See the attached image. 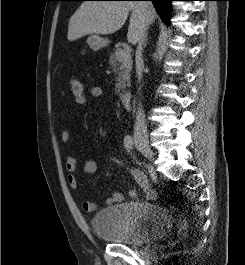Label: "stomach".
<instances>
[{"label": "stomach", "instance_id": "stomach-1", "mask_svg": "<svg viewBox=\"0 0 245 265\" xmlns=\"http://www.w3.org/2000/svg\"><path fill=\"white\" fill-rule=\"evenodd\" d=\"M87 43L93 51H98V50L106 47L108 45L109 41L104 39V38H101L97 35H91L88 37Z\"/></svg>", "mask_w": 245, "mask_h": 265}]
</instances>
